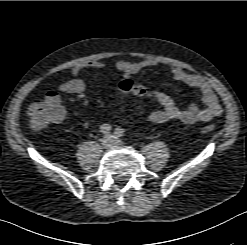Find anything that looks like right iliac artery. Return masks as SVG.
Instances as JSON below:
<instances>
[{
  "label": "right iliac artery",
  "instance_id": "82829eb1",
  "mask_svg": "<svg viewBox=\"0 0 247 245\" xmlns=\"http://www.w3.org/2000/svg\"><path fill=\"white\" fill-rule=\"evenodd\" d=\"M111 131V126L109 124H102L100 126V132L106 134L109 133Z\"/></svg>",
  "mask_w": 247,
  "mask_h": 245
}]
</instances>
